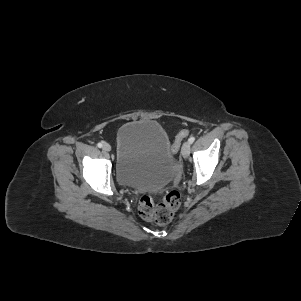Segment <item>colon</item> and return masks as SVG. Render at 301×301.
Returning a JSON list of instances; mask_svg holds the SVG:
<instances>
[{
  "instance_id": "obj_1",
  "label": "colon",
  "mask_w": 301,
  "mask_h": 301,
  "mask_svg": "<svg viewBox=\"0 0 301 301\" xmlns=\"http://www.w3.org/2000/svg\"><path fill=\"white\" fill-rule=\"evenodd\" d=\"M189 135V131L187 129L181 130L175 137V140L171 146L172 154H176L180 146ZM175 170L177 173H180L181 166L177 161L175 163ZM181 203V194L178 190H170L168 191L162 200L158 204H154L153 199L145 195L141 197L139 201V214L140 216L147 220L152 221L158 225L168 224L174 217V214Z\"/></svg>"
}]
</instances>
